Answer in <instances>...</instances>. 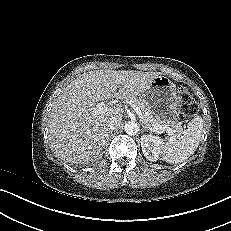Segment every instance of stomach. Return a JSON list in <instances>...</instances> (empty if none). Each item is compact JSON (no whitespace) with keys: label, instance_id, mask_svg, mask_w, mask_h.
Instances as JSON below:
<instances>
[{"label":"stomach","instance_id":"obj_1","mask_svg":"<svg viewBox=\"0 0 231 231\" xmlns=\"http://www.w3.org/2000/svg\"><path fill=\"white\" fill-rule=\"evenodd\" d=\"M147 110L163 123L173 125L179 119V95L176 85L166 76H158L150 82L141 95Z\"/></svg>","mask_w":231,"mask_h":231}]
</instances>
